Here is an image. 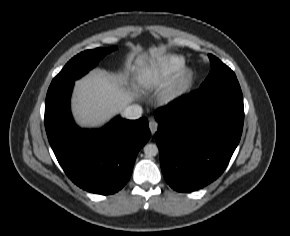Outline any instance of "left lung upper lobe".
<instances>
[{
	"mask_svg": "<svg viewBox=\"0 0 290 236\" xmlns=\"http://www.w3.org/2000/svg\"><path fill=\"white\" fill-rule=\"evenodd\" d=\"M208 56L211 61V71L200 88L237 79L234 72L228 66L223 64L218 58L211 54Z\"/></svg>",
	"mask_w": 290,
	"mask_h": 236,
	"instance_id": "left-lung-upper-lobe-1",
	"label": "left lung upper lobe"
}]
</instances>
